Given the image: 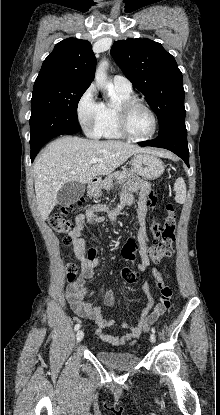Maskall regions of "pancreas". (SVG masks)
<instances>
[{
  "instance_id": "1",
  "label": "pancreas",
  "mask_w": 220,
  "mask_h": 415,
  "mask_svg": "<svg viewBox=\"0 0 220 415\" xmlns=\"http://www.w3.org/2000/svg\"><path fill=\"white\" fill-rule=\"evenodd\" d=\"M127 177L126 171H117L109 175L103 182V188L110 190L113 185V179H116L119 184L123 183Z\"/></svg>"
}]
</instances>
